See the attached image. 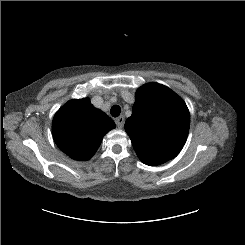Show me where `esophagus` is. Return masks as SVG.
Instances as JSON below:
<instances>
[{"mask_svg": "<svg viewBox=\"0 0 245 245\" xmlns=\"http://www.w3.org/2000/svg\"><path fill=\"white\" fill-rule=\"evenodd\" d=\"M124 122H125L124 116H119L118 118L115 119V123L118 126V128H122Z\"/></svg>", "mask_w": 245, "mask_h": 245, "instance_id": "34e87169", "label": "esophagus"}]
</instances>
